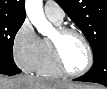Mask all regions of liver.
<instances>
[{"mask_svg":"<svg viewBox=\"0 0 107 89\" xmlns=\"http://www.w3.org/2000/svg\"><path fill=\"white\" fill-rule=\"evenodd\" d=\"M69 86L79 89H102V86L72 84L33 75L0 77V89H67Z\"/></svg>","mask_w":107,"mask_h":89,"instance_id":"1","label":"liver"}]
</instances>
